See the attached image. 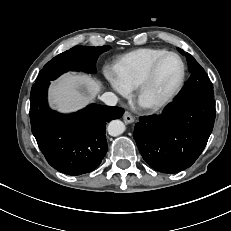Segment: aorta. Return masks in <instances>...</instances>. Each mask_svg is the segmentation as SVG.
<instances>
[{
    "mask_svg": "<svg viewBox=\"0 0 231 231\" xmlns=\"http://www.w3.org/2000/svg\"><path fill=\"white\" fill-rule=\"evenodd\" d=\"M125 129V124L120 120H112L107 127L109 135L114 137L121 135Z\"/></svg>",
    "mask_w": 231,
    "mask_h": 231,
    "instance_id": "obj_1",
    "label": "aorta"
}]
</instances>
